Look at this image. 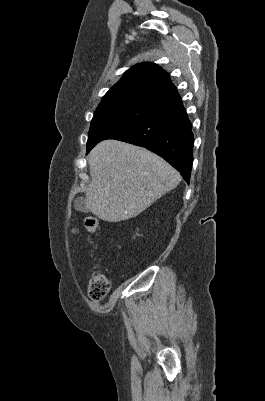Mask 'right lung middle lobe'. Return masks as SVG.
Wrapping results in <instances>:
<instances>
[{
  "label": "right lung middle lobe",
  "instance_id": "right-lung-middle-lobe-1",
  "mask_svg": "<svg viewBox=\"0 0 265 401\" xmlns=\"http://www.w3.org/2000/svg\"><path fill=\"white\" fill-rule=\"evenodd\" d=\"M162 107L159 104L142 101L99 106L91 122L87 150L107 139L115 131L139 121Z\"/></svg>",
  "mask_w": 265,
  "mask_h": 401
}]
</instances>
